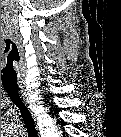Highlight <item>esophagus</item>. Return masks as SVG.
I'll return each instance as SVG.
<instances>
[{
  "label": "esophagus",
  "instance_id": "34e87169",
  "mask_svg": "<svg viewBox=\"0 0 121 137\" xmlns=\"http://www.w3.org/2000/svg\"><path fill=\"white\" fill-rule=\"evenodd\" d=\"M19 94H20L23 102L26 105H28L29 109H31V104H30L29 99H28V93H27V91L23 87H20Z\"/></svg>",
  "mask_w": 121,
  "mask_h": 137
}]
</instances>
